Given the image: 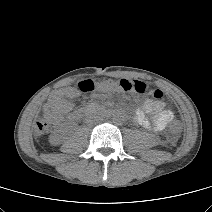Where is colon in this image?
Masks as SVG:
<instances>
[{"instance_id":"1","label":"colon","mask_w":212,"mask_h":212,"mask_svg":"<svg viewBox=\"0 0 212 212\" xmlns=\"http://www.w3.org/2000/svg\"><path fill=\"white\" fill-rule=\"evenodd\" d=\"M78 90L83 93H93L95 91L109 90L113 93L122 92H138L146 95H151L155 99L160 100L163 97V92L159 89L151 87L149 84L137 81L135 79L119 78L111 79L108 82L96 81L92 79L84 80L78 83ZM47 122L40 120L35 124L34 130L37 135H42L47 130ZM179 126L175 124L172 128L170 140L175 141Z\"/></svg>"}]
</instances>
